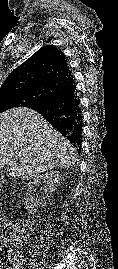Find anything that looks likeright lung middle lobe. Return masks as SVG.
I'll return each mask as SVG.
<instances>
[{
  "label": "right lung middle lobe",
  "mask_w": 118,
  "mask_h": 269,
  "mask_svg": "<svg viewBox=\"0 0 118 269\" xmlns=\"http://www.w3.org/2000/svg\"><path fill=\"white\" fill-rule=\"evenodd\" d=\"M38 103L37 98L29 95H5L0 97V113L13 107H29Z\"/></svg>",
  "instance_id": "obj_1"
}]
</instances>
